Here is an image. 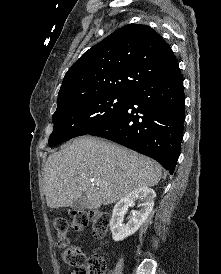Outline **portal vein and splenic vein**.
Instances as JSON below:
<instances>
[{
    "label": "portal vein and splenic vein",
    "instance_id": "18ae733b",
    "mask_svg": "<svg viewBox=\"0 0 221 274\" xmlns=\"http://www.w3.org/2000/svg\"><path fill=\"white\" fill-rule=\"evenodd\" d=\"M91 182H93V184H94V183H95V180H94V179H92V180H91Z\"/></svg>",
    "mask_w": 221,
    "mask_h": 274
}]
</instances>
